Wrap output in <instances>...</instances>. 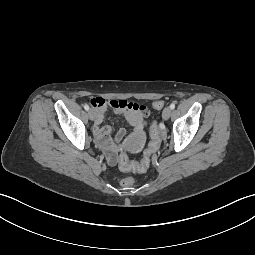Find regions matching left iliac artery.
Masks as SVG:
<instances>
[{
  "label": "left iliac artery",
  "instance_id": "left-iliac-artery-1",
  "mask_svg": "<svg viewBox=\"0 0 255 255\" xmlns=\"http://www.w3.org/2000/svg\"><path fill=\"white\" fill-rule=\"evenodd\" d=\"M170 108H171V110H173V109L175 108V104L172 103V104L170 105Z\"/></svg>",
  "mask_w": 255,
  "mask_h": 255
}]
</instances>
